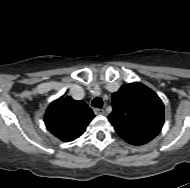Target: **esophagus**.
<instances>
[{"instance_id":"esophagus-1","label":"esophagus","mask_w":190,"mask_h":188,"mask_svg":"<svg viewBox=\"0 0 190 188\" xmlns=\"http://www.w3.org/2000/svg\"><path fill=\"white\" fill-rule=\"evenodd\" d=\"M94 113L96 115H104L105 114V110L104 109H100V108H95L94 109Z\"/></svg>"}]
</instances>
